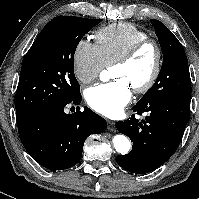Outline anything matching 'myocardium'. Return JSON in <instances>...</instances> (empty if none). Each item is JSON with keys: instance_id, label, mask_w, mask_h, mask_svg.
Listing matches in <instances>:
<instances>
[{"instance_id": "1", "label": "myocardium", "mask_w": 199, "mask_h": 199, "mask_svg": "<svg viewBox=\"0 0 199 199\" xmlns=\"http://www.w3.org/2000/svg\"><path fill=\"white\" fill-rule=\"evenodd\" d=\"M146 48H151L154 51L155 61H154L153 70L148 79L145 81V83L136 87H132L133 91L138 94H143L148 92L155 85L161 74L163 53L158 42L150 38L137 42L113 63V66L128 65L137 57V55L141 51H143Z\"/></svg>"}]
</instances>
